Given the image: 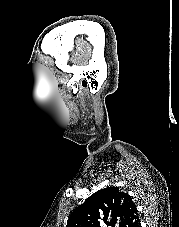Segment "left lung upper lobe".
Segmentation results:
<instances>
[{
  "label": "left lung upper lobe",
  "mask_w": 179,
  "mask_h": 227,
  "mask_svg": "<svg viewBox=\"0 0 179 227\" xmlns=\"http://www.w3.org/2000/svg\"><path fill=\"white\" fill-rule=\"evenodd\" d=\"M139 227V214L131 197L118 187L98 190L70 215L66 227Z\"/></svg>",
  "instance_id": "left-lung-upper-lobe-1"
}]
</instances>
